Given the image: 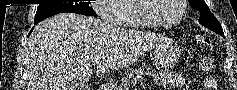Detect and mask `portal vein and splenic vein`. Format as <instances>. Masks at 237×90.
Returning <instances> with one entry per match:
<instances>
[{
  "mask_svg": "<svg viewBox=\"0 0 237 90\" xmlns=\"http://www.w3.org/2000/svg\"><path fill=\"white\" fill-rule=\"evenodd\" d=\"M93 64H94V66H95L96 62H93Z\"/></svg>",
  "mask_w": 237,
  "mask_h": 90,
  "instance_id": "obj_1",
  "label": "portal vein and splenic vein"
}]
</instances>
